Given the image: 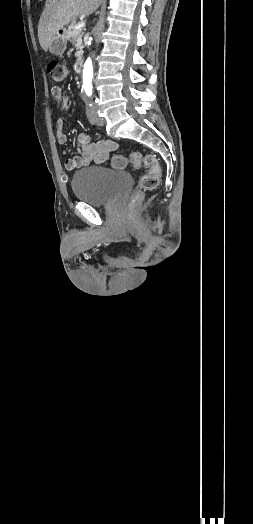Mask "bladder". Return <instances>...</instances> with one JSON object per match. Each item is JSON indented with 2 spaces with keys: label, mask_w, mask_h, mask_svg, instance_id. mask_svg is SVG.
Returning <instances> with one entry per match:
<instances>
[{
  "label": "bladder",
  "mask_w": 253,
  "mask_h": 524,
  "mask_svg": "<svg viewBox=\"0 0 253 524\" xmlns=\"http://www.w3.org/2000/svg\"><path fill=\"white\" fill-rule=\"evenodd\" d=\"M132 184L128 172L111 171L102 166H91L76 171L72 176V190L76 199L91 206L111 203Z\"/></svg>",
  "instance_id": "1"
}]
</instances>
